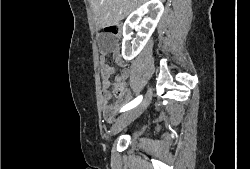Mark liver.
I'll list each match as a JSON object with an SVG mask.
<instances>
[{"instance_id": "6515ba94", "label": "liver", "mask_w": 250, "mask_h": 169, "mask_svg": "<svg viewBox=\"0 0 250 169\" xmlns=\"http://www.w3.org/2000/svg\"><path fill=\"white\" fill-rule=\"evenodd\" d=\"M89 2L97 16V26L104 28L117 24L146 0H89Z\"/></svg>"}]
</instances>
